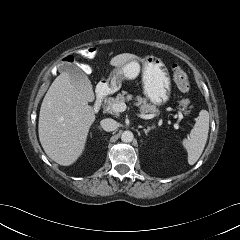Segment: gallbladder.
<instances>
[{"mask_svg":"<svg viewBox=\"0 0 240 240\" xmlns=\"http://www.w3.org/2000/svg\"><path fill=\"white\" fill-rule=\"evenodd\" d=\"M60 70L69 73L71 83L80 90L89 101L94 100L91 82L78 65L64 64L60 67Z\"/></svg>","mask_w":240,"mask_h":240,"instance_id":"bac80fb5","label":"gallbladder"}]
</instances>
